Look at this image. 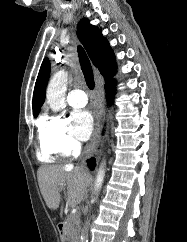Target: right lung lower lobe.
Here are the masks:
<instances>
[{
    "label": "right lung lower lobe",
    "mask_w": 187,
    "mask_h": 242,
    "mask_svg": "<svg viewBox=\"0 0 187 242\" xmlns=\"http://www.w3.org/2000/svg\"><path fill=\"white\" fill-rule=\"evenodd\" d=\"M114 85H115L114 80L106 82V85H105V90H106V94H107V98H108L109 102H111L114 97V93H115ZM95 161H96L95 158H91L90 160H88V167L91 170H93L95 168V165H96Z\"/></svg>",
    "instance_id": "obj_1"
}]
</instances>
